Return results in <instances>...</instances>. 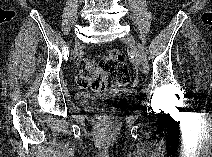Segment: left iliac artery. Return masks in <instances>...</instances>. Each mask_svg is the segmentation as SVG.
I'll return each mask as SVG.
<instances>
[{
  "instance_id": "left-iliac-artery-1",
  "label": "left iliac artery",
  "mask_w": 212,
  "mask_h": 157,
  "mask_svg": "<svg viewBox=\"0 0 212 157\" xmlns=\"http://www.w3.org/2000/svg\"><path fill=\"white\" fill-rule=\"evenodd\" d=\"M137 49H138V52L141 55L142 63H143L145 72L148 73L149 70H150V67H149V62H148V58H147L146 52L144 50V47L140 43H137Z\"/></svg>"
}]
</instances>
